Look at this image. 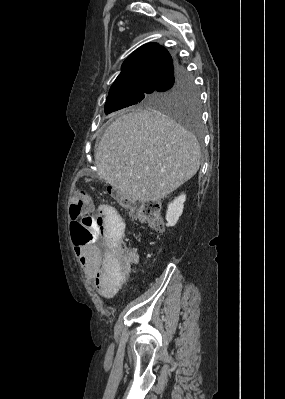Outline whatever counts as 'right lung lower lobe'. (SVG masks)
<instances>
[{
  "label": "right lung lower lobe",
  "mask_w": 285,
  "mask_h": 399,
  "mask_svg": "<svg viewBox=\"0 0 285 399\" xmlns=\"http://www.w3.org/2000/svg\"><path fill=\"white\" fill-rule=\"evenodd\" d=\"M184 73H186L184 67L181 66L177 60L173 61V63L163 76L160 86L165 83H172L180 79L184 75Z\"/></svg>",
  "instance_id": "obj_1"
}]
</instances>
